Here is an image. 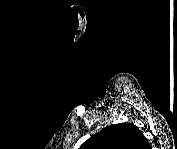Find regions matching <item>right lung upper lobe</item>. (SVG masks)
I'll list each match as a JSON object with an SVG mask.
<instances>
[{
    "label": "right lung upper lobe",
    "mask_w": 177,
    "mask_h": 149,
    "mask_svg": "<svg viewBox=\"0 0 177 149\" xmlns=\"http://www.w3.org/2000/svg\"><path fill=\"white\" fill-rule=\"evenodd\" d=\"M146 138L133 124L119 123L107 126L87 141L80 149H142Z\"/></svg>",
    "instance_id": "obj_1"
}]
</instances>
